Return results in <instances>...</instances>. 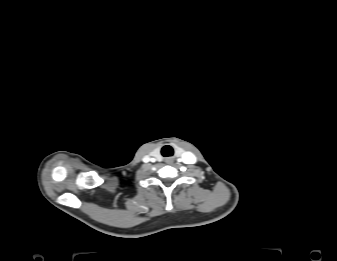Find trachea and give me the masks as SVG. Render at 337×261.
Masks as SVG:
<instances>
[{
    "label": "trachea",
    "mask_w": 337,
    "mask_h": 261,
    "mask_svg": "<svg viewBox=\"0 0 337 261\" xmlns=\"http://www.w3.org/2000/svg\"><path fill=\"white\" fill-rule=\"evenodd\" d=\"M174 153L173 148L169 145H165L162 149H161V154L164 157H169L172 156Z\"/></svg>",
    "instance_id": "1"
}]
</instances>
